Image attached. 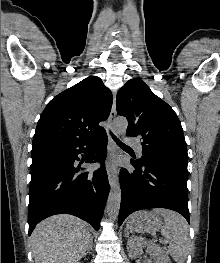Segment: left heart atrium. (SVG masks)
Wrapping results in <instances>:
<instances>
[{
	"mask_svg": "<svg viewBox=\"0 0 220 263\" xmlns=\"http://www.w3.org/2000/svg\"><path fill=\"white\" fill-rule=\"evenodd\" d=\"M114 162L112 161V162H110V164L112 165Z\"/></svg>",
	"mask_w": 220,
	"mask_h": 263,
	"instance_id": "39dd6f15",
	"label": "left heart atrium"
}]
</instances>
